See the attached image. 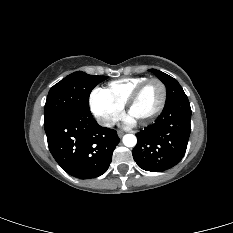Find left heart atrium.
Instances as JSON below:
<instances>
[{"instance_id":"obj_1","label":"left heart atrium","mask_w":233,"mask_h":233,"mask_svg":"<svg viewBox=\"0 0 233 233\" xmlns=\"http://www.w3.org/2000/svg\"><path fill=\"white\" fill-rule=\"evenodd\" d=\"M135 122V120L132 118V117H128V119H127V123L128 124H133Z\"/></svg>"}]
</instances>
